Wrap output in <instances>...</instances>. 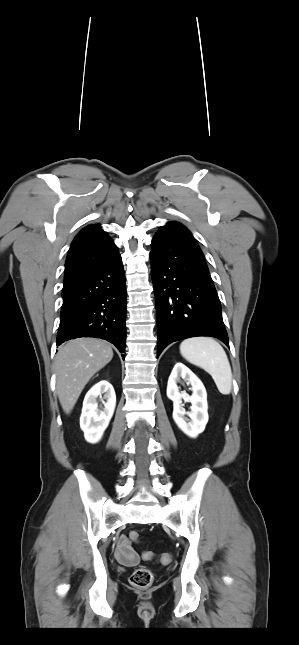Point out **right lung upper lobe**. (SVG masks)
I'll list each match as a JSON object with an SVG mask.
<instances>
[{"label":"right lung upper lobe","mask_w":299,"mask_h":645,"mask_svg":"<svg viewBox=\"0 0 299 645\" xmlns=\"http://www.w3.org/2000/svg\"><path fill=\"white\" fill-rule=\"evenodd\" d=\"M114 242L100 225H89L74 238L65 263L64 283L80 272L118 255Z\"/></svg>","instance_id":"obj_1"}]
</instances>
